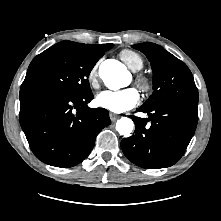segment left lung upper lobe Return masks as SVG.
I'll return each mask as SVG.
<instances>
[{"instance_id": "left-lung-upper-lobe-1", "label": "left lung upper lobe", "mask_w": 221, "mask_h": 221, "mask_svg": "<svg viewBox=\"0 0 221 221\" xmlns=\"http://www.w3.org/2000/svg\"><path fill=\"white\" fill-rule=\"evenodd\" d=\"M143 52L153 70V94L142 107H154L170 101L198 104V90L187 65L155 43L132 46Z\"/></svg>"}]
</instances>
